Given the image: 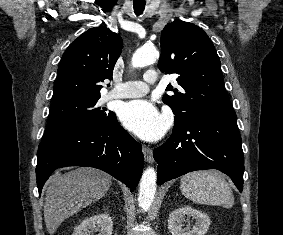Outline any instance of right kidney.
I'll return each mask as SVG.
<instances>
[{
  "label": "right kidney",
  "mask_w": 283,
  "mask_h": 235,
  "mask_svg": "<svg viewBox=\"0 0 283 235\" xmlns=\"http://www.w3.org/2000/svg\"><path fill=\"white\" fill-rule=\"evenodd\" d=\"M113 221L108 214H96L84 219L78 225L72 235H91L92 232H98L97 235H112Z\"/></svg>",
  "instance_id": "ca27d5eb"
}]
</instances>
